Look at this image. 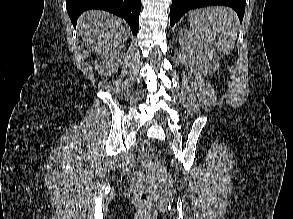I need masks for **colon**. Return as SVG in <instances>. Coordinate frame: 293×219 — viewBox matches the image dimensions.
<instances>
[{
  "label": "colon",
  "instance_id": "colon-1",
  "mask_svg": "<svg viewBox=\"0 0 293 219\" xmlns=\"http://www.w3.org/2000/svg\"><path fill=\"white\" fill-rule=\"evenodd\" d=\"M150 148L151 144L149 141H144L141 144L140 152L142 155L143 160L148 161L151 159L150 155ZM134 198L137 202L142 204L148 209H151L153 207V198L151 196V193L145 189V188H137L134 190Z\"/></svg>",
  "mask_w": 293,
  "mask_h": 219
}]
</instances>
